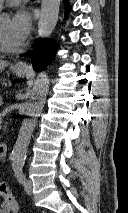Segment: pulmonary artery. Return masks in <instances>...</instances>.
<instances>
[{"mask_svg": "<svg viewBox=\"0 0 128 213\" xmlns=\"http://www.w3.org/2000/svg\"><path fill=\"white\" fill-rule=\"evenodd\" d=\"M4 0H0V9L2 8Z\"/></svg>", "mask_w": 128, "mask_h": 213, "instance_id": "pulmonary-artery-1", "label": "pulmonary artery"}]
</instances>
